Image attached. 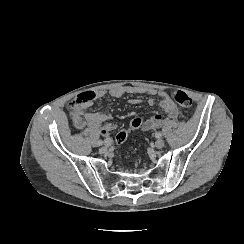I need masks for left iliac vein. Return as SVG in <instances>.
<instances>
[{"instance_id":"1","label":"left iliac vein","mask_w":244,"mask_h":244,"mask_svg":"<svg viewBox=\"0 0 244 244\" xmlns=\"http://www.w3.org/2000/svg\"><path fill=\"white\" fill-rule=\"evenodd\" d=\"M155 146L157 147V148H163V146H164V141L162 140V139H158V140H156V142H155Z\"/></svg>"}]
</instances>
